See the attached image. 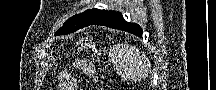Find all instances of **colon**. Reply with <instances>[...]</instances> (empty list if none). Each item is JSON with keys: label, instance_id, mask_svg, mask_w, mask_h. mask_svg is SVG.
Returning a JSON list of instances; mask_svg holds the SVG:
<instances>
[{"label": "colon", "instance_id": "1", "mask_svg": "<svg viewBox=\"0 0 216 90\" xmlns=\"http://www.w3.org/2000/svg\"><path fill=\"white\" fill-rule=\"evenodd\" d=\"M78 45L81 46V47H86V41L85 40H80L78 42ZM93 58L94 60L99 63V55L97 52H93ZM98 77H100V75H98Z\"/></svg>", "mask_w": 216, "mask_h": 90}]
</instances>
